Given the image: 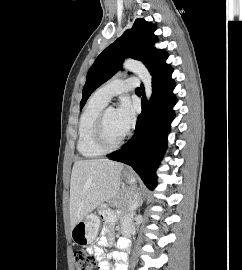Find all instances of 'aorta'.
<instances>
[{
  "mask_svg": "<svg viewBox=\"0 0 242 270\" xmlns=\"http://www.w3.org/2000/svg\"><path fill=\"white\" fill-rule=\"evenodd\" d=\"M123 68L127 71L135 73L143 82L147 100L152 95V76L145 65L139 61L127 59L123 63Z\"/></svg>",
  "mask_w": 242,
  "mask_h": 270,
  "instance_id": "1",
  "label": "aorta"
}]
</instances>
